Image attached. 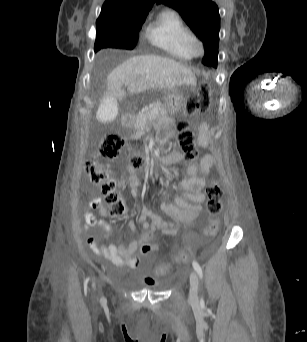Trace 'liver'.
I'll list each match as a JSON object with an SVG mask.
<instances>
[{"mask_svg": "<svg viewBox=\"0 0 307 342\" xmlns=\"http://www.w3.org/2000/svg\"><path fill=\"white\" fill-rule=\"evenodd\" d=\"M124 86H127V90H124ZM178 86H196L192 70L171 58L153 54L133 56L107 76V95H122L123 100L127 92L142 94L147 90H172Z\"/></svg>", "mask_w": 307, "mask_h": 342, "instance_id": "1", "label": "liver"}]
</instances>
